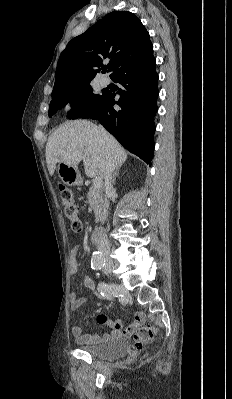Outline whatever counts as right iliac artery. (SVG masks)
Returning <instances> with one entry per match:
<instances>
[{
    "mask_svg": "<svg viewBox=\"0 0 232 399\" xmlns=\"http://www.w3.org/2000/svg\"><path fill=\"white\" fill-rule=\"evenodd\" d=\"M105 266V257L103 255H92L91 257V268L95 271H99ZM107 284L105 282H98L97 291L103 297H108L106 292Z\"/></svg>",
    "mask_w": 232,
    "mask_h": 399,
    "instance_id": "82829eb1",
    "label": "right iliac artery"
}]
</instances>
